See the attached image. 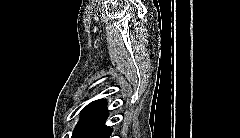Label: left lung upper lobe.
I'll return each instance as SVG.
<instances>
[{
	"instance_id": "5c2ea615",
	"label": "left lung upper lobe",
	"mask_w": 240,
	"mask_h": 138,
	"mask_svg": "<svg viewBox=\"0 0 240 138\" xmlns=\"http://www.w3.org/2000/svg\"><path fill=\"white\" fill-rule=\"evenodd\" d=\"M105 105L106 100H97L88 104L81 112V118L73 131L72 138H78V136L81 134V132L90 122V120Z\"/></svg>"
}]
</instances>
